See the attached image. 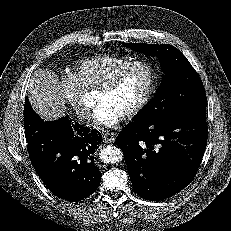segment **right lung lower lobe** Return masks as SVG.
<instances>
[{
    "instance_id": "98d812e1",
    "label": "right lung lower lobe",
    "mask_w": 231,
    "mask_h": 231,
    "mask_svg": "<svg viewBox=\"0 0 231 231\" xmlns=\"http://www.w3.org/2000/svg\"><path fill=\"white\" fill-rule=\"evenodd\" d=\"M24 128L31 163L55 196L76 202L96 191L101 172L93 154L102 141L100 132L72 122L68 115L44 122L27 97Z\"/></svg>"
}]
</instances>
